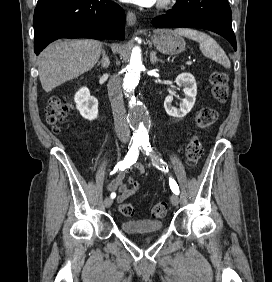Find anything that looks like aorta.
Segmentation results:
<instances>
[{
	"mask_svg": "<svg viewBox=\"0 0 272 282\" xmlns=\"http://www.w3.org/2000/svg\"><path fill=\"white\" fill-rule=\"evenodd\" d=\"M141 69V49L136 46L132 50L130 63L123 79V87L130 95H134V92L138 87ZM129 121L133 129V137L136 140H142L148 137V114L144 105L137 101L132 102L129 108Z\"/></svg>",
	"mask_w": 272,
	"mask_h": 282,
	"instance_id": "1",
	"label": "aorta"
}]
</instances>
